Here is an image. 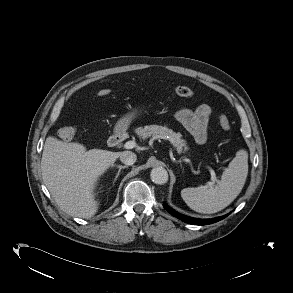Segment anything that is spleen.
I'll list each match as a JSON object with an SVG mask.
<instances>
[{
    "instance_id": "1",
    "label": "spleen",
    "mask_w": 293,
    "mask_h": 293,
    "mask_svg": "<svg viewBox=\"0 0 293 293\" xmlns=\"http://www.w3.org/2000/svg\"><path fill=\"white\" fill-rule=\"evenodd\" d=\"M248 175V152L239 150L223 171L217 185L184 188L181 196L194 211L212 214L230 205L240 194Z\"/></svg>"
}]
</instances>
